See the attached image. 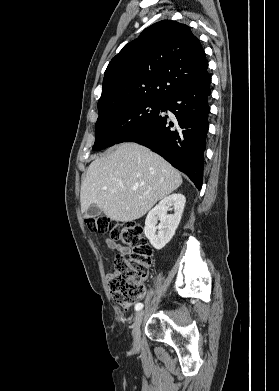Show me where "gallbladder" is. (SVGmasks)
<instances>
[{"instance_id": "obj_1", "label": "gallbladder", "mask_w": 279, "mask_h": 391, "mask_svg": "<svg viewBox=\"0 0 279 391\" xmlns=\"http://www.w3.org/2000/svg\"><path fill=\"white\" fill-rule=\"evenodd\" d=\"M102 210L97 205L90 206L85 212V216L88 218H95L101 214Z\"/></svg>"}]
</instances>
